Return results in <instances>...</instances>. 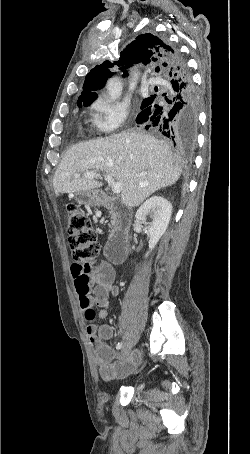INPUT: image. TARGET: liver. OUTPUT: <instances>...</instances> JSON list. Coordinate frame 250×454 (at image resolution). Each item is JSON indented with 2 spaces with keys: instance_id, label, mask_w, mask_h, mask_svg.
<instances>
[{
  "instance_id": "obj_1",
  "label": "liver",
  "mask_w": 250,
  "mask_h": 454,
  "mask_svg": "<svg viewBox=\"0 0 250 454\" xmlns=\"http://www.w3.org/2000/svg\"><path fill=\"white\" fill-rule=\"evenodd\" d=\"M85 171H101L121 183V201L133 207L175 184L182 172L164 141L136 132H122L68 149L54 174L55 194L72 196L103 186L98 180L74 176Z\"/></svg>"
}]
</instances>
